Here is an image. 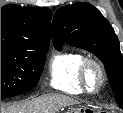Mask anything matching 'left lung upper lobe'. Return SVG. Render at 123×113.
<instances>
[{"mask_svg": "<svg viewBox=\"0 0 123 113\" xmlns=\"http://www.w3.org/2000/svg\"><path fill=\"white\" fill-rule=\"evenodd\" d=\"M55 48L62 42L83 48L104 64L116 102L123 109V59L118 38L102 14L88 3H75L60 8L52 23Z\"/></svg>", "mask_w": 123, "mask_h": 113, "instance_id": "5c2ea615", "label": "left lung upper lobe"}]
</instances>
